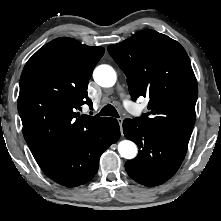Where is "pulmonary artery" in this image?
<instances>
[{"mask_svg": "<svg viewBox=\"0 0 221 221\" xmlns=\"http://www.w3.org/2000/svg\"><path fill=\"white\" fill-rule=\"evenodd\" d=\"M124 105H125V107H126L128 110H132V109H133V106H132L131 102L128 101V100H124Z\"/></svg>", "mask_w": 221, "mask_h": 221, "instance_id": "1", "label": "pulmonary artery"}]
</instances>
